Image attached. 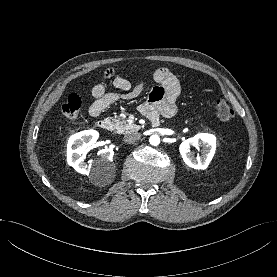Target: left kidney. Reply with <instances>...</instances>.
<instances>
[{
  "label": "left kidney",
  "mask_w": 277,
  "mask_h": 277,
  "mask_svg": "<svg viewBox=\"0 0 277 277\" xmlns=\"http://www.w3.org/2000/svg\"><path fill=\"white\" fill-rule=\"evenodd\" d=\"M202 147V155L194 157L190 148ZM216 149V138L214 135L199 133L192 138L183 141L180 144L179 151L184 162L194 169H206L212 160Z\"/></svg>",
  "instance_id": "left-kidney-1"
}]
</instances>
